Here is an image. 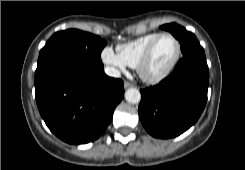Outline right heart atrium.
<instances>
[{
    "label": "right heart atrium",
    "mask_w": 245,
    "mask_h": 170,
    "mask_svg": "<svg viewBox=\"0 0 245 170\" xmlns=\"http://www.w3.org/2000/svg\"><path fill=\"white\" fill-rule=\"evenodd\" d=\"M102 61L109 66L111 73H117L126 68V64L120 56L110 47H105L101 53Z\"/></svg>",
    "instance_id": "right-heart-atrium-1"
}]
</instances>
